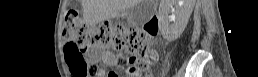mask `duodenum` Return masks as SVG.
<instances>
[{"label": "duodenum", "mask_w": 258, "mask_h": 77, "mask_svg": "<svg viewBox=\"0 0 258 77\" xmlns=\"http://www.w3.org/2000/svg\"><path fill=\"white\" fill-rule=\"evenodd\" d=\"M147 31L154 36L157 35V33H158V23H157L156 19H151L147 23Z\"/></svg>", "instance_id": "obj_1"}]
</instances>
